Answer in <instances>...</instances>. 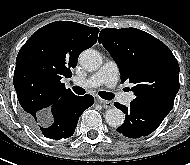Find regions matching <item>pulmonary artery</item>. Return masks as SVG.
<instances>
[{"label": "pulmonary artery", "mask_w": 190, "mask_h": 165, "mask_svg": "<svg viewBox=\"0 0 190 165\" xmlns=\"http://www.w3.org/2000/svg\"><path fill=\"white\" fill-rule=\"evenodd\" d=\"M119 78V68L117 64L112 61H106L102 67L94 73L92 76L86 79L75 77L73 82L76 85L82 87H97L100 85H106L108 87H115ZM120 100L125 104H128L133 99V94H122L119 96Z\"/></svg>", "instance_id": "e3ab8cb5"}]
</instances>
